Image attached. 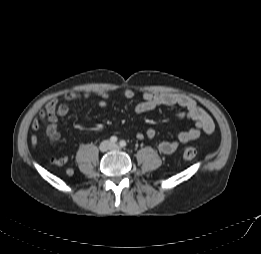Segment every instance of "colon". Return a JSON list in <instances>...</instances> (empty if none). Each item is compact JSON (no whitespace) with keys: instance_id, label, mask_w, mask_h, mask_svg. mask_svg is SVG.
<instances>
[{"instance_id":"colon-1","label":"colon","mask_w":261,"mask_h":254,"mask_svg":"<svg viewBox=\"0 0 261 254\" xmlns=\"http://www.w3.org/2000/svg\"><path fill=\"white\" fill-rule=\"evenodd\" d=\"M197 155V151L195 148L193 147H188L184 150L183 152V157L185 160H188V161H191L193 160ZM66 173L68 175H71L72 174V171L71 170H67Z\"/></svg>"}]
</instances>
